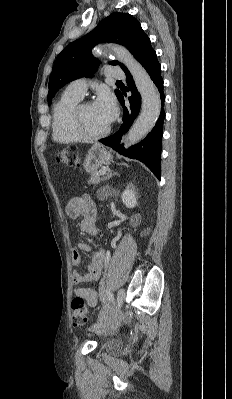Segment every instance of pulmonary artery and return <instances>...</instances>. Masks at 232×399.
<instances>
[{
  "label": "pulmonary artery",
  "instance_id": "pulmonary-artery-1",
  "mask_svg": "<svg viewBox=\"0 0 232 399\" xmlns=\"http://www.w3.org/2000/svg\"><path fill=\"white\" fill-rule=\"evenodd\" d=\"M106 71L110 80H123L124 74L122 69H115L116 65L111 63ZM65 96H76L82 98L88 96V89H85L83 81H72L68 83V89H65Z\"/></svg>",
  "mask_w": 232,
  "mask_h": 399
}]
</instances>
